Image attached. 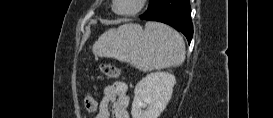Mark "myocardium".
Returning a JSON list of instances; mask_svg holds the SVG:
<instances>
[{
  "label": "myocardium",
  "instance_id": "f54148a6",
  "mask_svg": "<svg viewBox=\"0 0 273 118\" xmlns=\"http://www.w3.org/2000/svg\"><path fill=\"white\" fill-rule=\"evenodd\" d=\"M119 0H114L112 2V10L118 14V15H121V16H131V15H135L137 14L138 12H140L143 7H144V4L146 2V0H136L137 3H136V6L132 9V10H128V11H119L117 9V3H118Z\"/></svg>",
  "mask_w": 273,
  "mask_h": 118
}]
</instances>
